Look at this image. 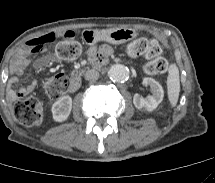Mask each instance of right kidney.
Returning a JSON list of instances; mask_svg holds the SVG:
<instances>
[{"mask_svg":"<svg viewBox=\"0 0 215 183\" xmlns=\"http://www.w3.org/2000/svg\"><path fill=\"white\" fill-rule=\"evenodd\" d=\"M72 110V98L65 95L59 98L51 108L53 119L56 122H63L67 120Z\"/></svg>","mask_w":215,"mask_h":183,"instance_id":"right-kidney-1","label":"right kidney"}]
</instances>
